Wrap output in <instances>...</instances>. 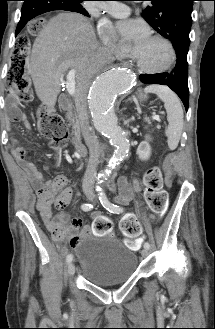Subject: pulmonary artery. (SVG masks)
<instances>
[{"mask_svg":"<svg viewBox=\"0 0 215 329\" xmlns=\"http://www.w3.org/2000/svg\"><path fill=\"white\" fill-rule=\"evenodd\" d=\"M97 7L117 18L126 17L130 14V8L126 4L119 2L98 4Z\"/></svg>","mask_w":215,"mask_h":329,"instance_id":"e3ab8cb5","label":"pulmonary artery"}]
</instances>
